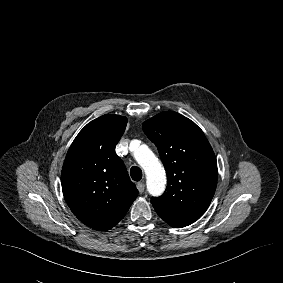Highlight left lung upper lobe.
<instances>
[{"label":"left lung upper lobe","mask_w":283,"mask_h":283,"mask_svg":"<svg viewBox=\"0 0 283 283\" xmlns=\"http://www.w3.org/2000/svg\"><path fill=\"white\" fill-rule=\"evenodd\" d=\"M142 127L167 173L166 190L151 198L153 207L174 228L190 225L204 214L215 193V154L203 131L177 112H161Z\"/></svg>","instance_id":"5c2ea615"}]
</instances>
